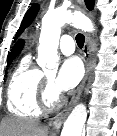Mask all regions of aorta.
I'll return each mask as SVG.
<instances>
[{"instance_id":"1","label":"aorta","mask_w":117,"mask_h":136,"mask_svg":"<svg viewBox=\"0 0 117 136\" xmlns=\"http://www.w3.org/2000/svg\"><path fill=\"white\" fill-rule=\"evenodd\" d=\"M66 23H73L84 31L93 30L91 21L80 13H72L64 8L47 12L42 19L37 59L38 65L44 70L54 71L58 66L57 49L61 27ZM86 116V106L77 105L65 121L60 136H82Z\"/></svg>"}]
</instances>
